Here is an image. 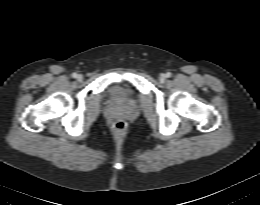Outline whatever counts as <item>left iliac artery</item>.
<instances>
[{"label": "left iliac artery", "instance_id": "obj_1", "mask_svg": "<svg viewBox=\"0 0 260 205\" xmlns=\"http://www.w3.org/2000/svg\"><path fill=\"white\" fill-rule=\"evenodd\" d=\"M166 77H167V78H170V77H171V73H170V72H167V73H166Z\"/></svg>", "mask_w": 260, "mask_h": 205}]
</instances>
